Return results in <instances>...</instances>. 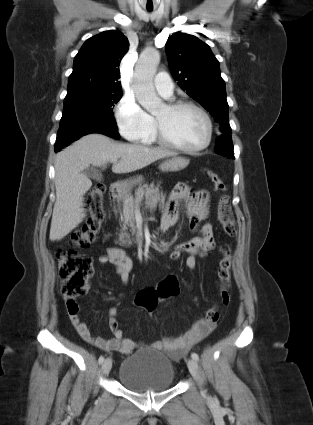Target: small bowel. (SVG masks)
<instances>
[{
  "label": "small bowel",
  "instance_id": "1",
  "mask_svg": "<svg viewBox=\"0 0 313 425\" xmlns=\"http://www.w3.org/2000/svg\"><path fill=\"white\" fill-rule=\"evenodd\" d=\"M208 201L209 194L205 190L197 191L185 183H178L172 191L168 210L161 219L160 229L167 231L177 223L179 218L178 207L181 202H184L190 228L196 230L199 223L204 221L208 216ZM213 245L212 226L210 224H204L200 229V235L176 245L170 253V258L177 260L181 257L182 253H188L189 256L186 259V265L190 270H194L197 263V256L202 254L204 249L212 248ZM98 262L101 264H112L122 282H128L132 263L122 249L117 247L108 248L105 254H101L98 257ZM66 305L70 321L84 341L104 351H115L124 355L132 353L138 346L136 341L126 338L123 335L116 318L117 309L115 307L109 311V326L114 337L107 339L92 335L88 325L79 317V306L77 303H75L74 308L68 302H66ZM213 328L214 325L208 324L205 320H200L195 322L182 336L175 339L164 338L160 341H155L152 343V347L165 349L172 358L179 359L191 347L208 336Z\"/></svg>",
  "mask_w": 313,
  "mask_h": 425
}]
</instances>
